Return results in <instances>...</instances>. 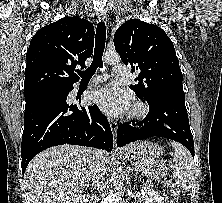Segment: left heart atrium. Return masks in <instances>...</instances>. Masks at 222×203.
I'll return each mask as SVG.
<instances>
[{"mask_svg":"<svg viewBox=\"0 0 222 203\" xmlns=\"http://www.w3.org/2000/svg\"><path fill=\"white\" fill-rule=\"evenodd\" d=\"M92 99L104 112L111 115L125 112L130 105L129 95L113 85H107L97 90Z\"/></svg>","mask_w":222,"mask_h":203,"instance_id":"39dd6f15","label":"left heart atrium"}]
</instances>
